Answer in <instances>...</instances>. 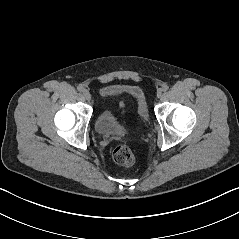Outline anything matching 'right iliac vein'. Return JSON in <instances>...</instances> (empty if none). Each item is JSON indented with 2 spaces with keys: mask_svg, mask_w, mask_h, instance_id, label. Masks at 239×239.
<instances>
[{
  "mask_svg": "<svg viewBox=\"0 0 239 239\" xmlns=\"http://www.w3.org/2000/svg\"><path fill=\"white\" fill-rule=\"evenodd\" d=\"M83 96L85 97L86 100H90L91 99V94L86 89H84V91H83Z\"/></svg>",
  "mask_w": 239,
  "mask_h": 239,
  "instance_id": "right-iliac-vein-1",
  "label": "right iliac vein"
}]
</instances>
